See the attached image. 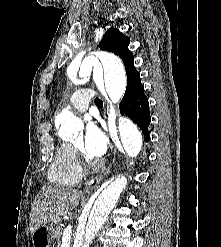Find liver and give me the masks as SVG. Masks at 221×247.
<instances>
[{
	"mask_svg": "<svg viewBox=\"0 0 221 247\" xmlns=\"http://www.w3.org/2000/svg\"><path fill=\"white\" fill-rule=\"evenodd\" d=\"M82 192L69 187L45 186L37 195L30 213V230L55 223L78 206Z\"/></svg>",
	"mask_w": 221,
	"mask_h": 247,
	"instance_id": "obj_1",
	"label": "liver"
}]
</instances>
